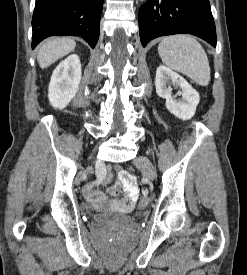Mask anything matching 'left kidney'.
Segmentation results:
<instances>
[{"label":"left kidney","instance_id":"1","mask_svg":"<svg viewBox=\"0 0 247 275\" xmlns=\"http://www.w3.org/2000/svg\"><path fill=\"white\" fill-rule=\"evenodd\" d=\"M169 82L180 87L181 91L177 93L181 96L180 99L176 100L171 95L172 88L168 86ZM155 87L156 93L166 100V108L173 115L182 120H188L194 116L200 97L198 92L181 75L160 65L156 71Z\"/></svg>","mask_w":247,"mask_h":275}]
</instances>
